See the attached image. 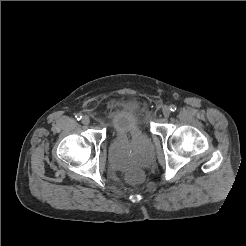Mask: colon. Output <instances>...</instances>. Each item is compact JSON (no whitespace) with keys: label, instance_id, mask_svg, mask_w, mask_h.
Here are the masks:
<instances>
[{"label":"colon","instance_id":"1","mask_svg":"<svg viewBox=\"0 0 246 246\" xmlns=\"http://www.w3.org/2000/svg\"><path fill=\"white\" fill-rule=\"evenodd\" d=\"M128 179L133 183H137L141 180V174L137 171H132L128 174Z\"/></svg>","mask_w":246,"mask_h":246}]
</instances>
